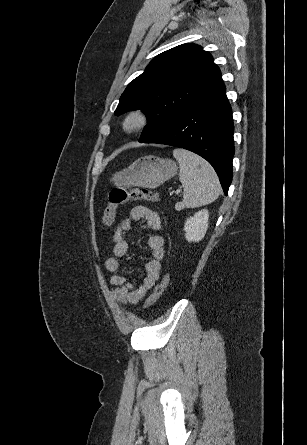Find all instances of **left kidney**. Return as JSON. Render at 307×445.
<instances>
[{
    "instance_id": "5707ae66",
    "label": "left kidney",
    "mask_w": 307,
    "mask_h": 445,
    "mask_svg": "<svg viewBox=\"0 0 307 445\" xmlns=\"http://www.w3.org/2000/svg\"><path fill=\"white\" fill-rule=\"evenodd\" d=\"M209 212L206 208L195 212L194 216H189L185 223V239L198 243L204 239L208 229Z\"/></svg>"
}]
</instances>
